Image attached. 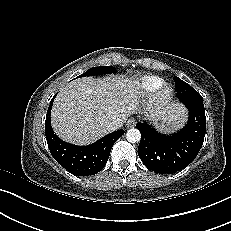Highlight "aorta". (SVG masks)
Wrapping results in <instances>:
<instances>
[{"label":"aorta","instance_id":"aorta-1","mask_svg":"<svg viewBox=\"0 0 231 231\" xmlns=\"http://www.w3.org/2000/svg\"><path fill=\"white\" fill-rule=\"evenodd\" d=\"M126 139L130 143H137L141 139L140 131L136 128H131L126 133Z\"/></svg>","mask_w":231,"mask_h":231}]
</instances>
